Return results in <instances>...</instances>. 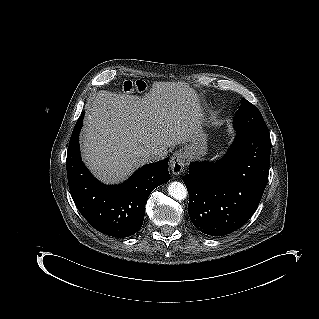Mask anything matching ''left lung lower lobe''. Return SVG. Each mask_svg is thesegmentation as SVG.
Returning a JSON list of instances; mask_svg holds the SVG:
<instances>
[{"label":"left lung lower lobe","instance_id":"0a47b994","mask_svg":"<svg viewBox=\"0 0 319 319\" xmlns=\"http://www.w3.org/2000/svg\"><path fill=\"white\" fill-rule=\"evenodd\" d=\"M269 135L238 133L217 163L192 162L184 183L193 225L210 236L230 234L253 215L268 181Z\"/></svg>","mask_w":319,"mask_h":319}]
</instances>
